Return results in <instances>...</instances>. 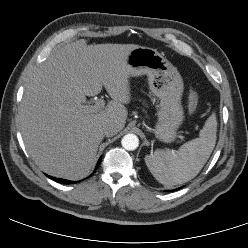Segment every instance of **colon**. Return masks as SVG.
Returning <instances> with one entry per match:
<instances>
[{
  "label": "colon",
  "mask_w": 248,
  "mask_h": 248,
  "mask_svg": "<svg viewBox=\"0 0 248 248\" xmlns=\"http://www.w3.org/2000/svg\"><path fill=\"white\" fill-rule=\"evenodd\" d=\"M198 105V95L196 91L190 90L189 95H188V102H187V107L188 111L190 113H193Z\"/></svg>",
  "instance_id": "obj_1"
}]
</instances>
